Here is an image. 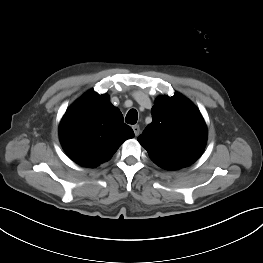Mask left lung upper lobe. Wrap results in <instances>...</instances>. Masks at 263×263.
Listing matches in <instances>:
<instances>
[{
  "instance_id": "5c2ea615",
  "label": "left lung upper lobe",
  "mask_w": 263,
  "mask_h": 263,
  "mask_svg": "<svg viewBox=\"0 0 263 263\" xmlns=\"http://www.w3.org/2000/svg\"><path fill=\"white\" fill-rule=\"evenodd\" d=\"M153 121L138 137L158 166L174 170L194 163L206 141L205 121L196 106L179 93L156 99L151 109Z\"/></svg>"
}]
</instances>
